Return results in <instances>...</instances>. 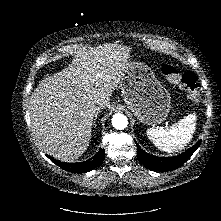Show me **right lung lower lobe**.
I'll return each instance as SVG.
<instances>
[{"label": "right lung lower lobe", "mask_w": 221, "mask_h": 221, "mask_svg": "<svg viewBox=\"0 0 221 221\" xmlns=\"http://www.w3.org/2000/svg\"><path fill=\"white\" fill-rule=\"evenodd\" d=\"M104 157H105V152L104 149L102 148L99 149L98 153L93 158L80 163L71 164V163L60 162L48 156V158L51 161L56 163L62 169L74 173H84L97 168L103 163Z\"/></svg>", "instance_id": "98d812e1"}]
</instances>
